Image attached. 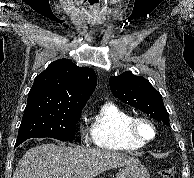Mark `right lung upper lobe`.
I'll use <instances>...</instances> for the list:
<instances>
[{"label": "right lung upper lobe", "instance_id": "right-lung-upper-lobe-1", "mask_svg": "<svg viewBox=\"0 0 194 178\" xmlns=\"http://www.w3.org/2000/svg\"><path fill=\"white\" fill-rule=\"evenodd\" d=\"M96 84L94 70L78 67L68 59H59L35 78L28 101L49 100L68 108L82 110Z\"/></svg>", "mask_w": 194, "mask_h": 178}]
</instances>
